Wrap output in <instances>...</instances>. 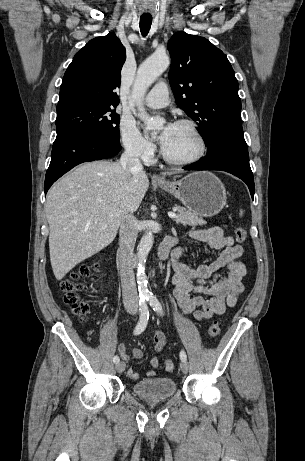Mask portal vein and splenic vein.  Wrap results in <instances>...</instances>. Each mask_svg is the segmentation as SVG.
<instances>
[{"label": "portal vein and splenic vein", "mask_w": 305, "mask_h": 461, "mask_svg": "<svg viewBox=\"0 0 305 461\" xmlns=\"http://www.w3.org/2000/svg\"><path fill=\"white\" fill-rule=\"evenodd\" d=\"M109 216H113V215L110 214ZM168 216L172 219H175L177 217V215L174 212H168Z\"/></svg>", "instance_id": "18ae733b"}]
</instances>
